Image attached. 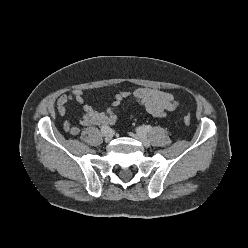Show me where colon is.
<instances>
[{
    "mask_svg": "<svg viewBox=\"0 0 248 248\" xmlns=\"http://www.w3.org/2000/svg\"><path fill=\"white\" fill-rule=\"evenodd\" d=\"M183 120H184V123H185L186 125H190V123H191V118H190V116H189L188 114L184 115Z\"/></svg>",
    "mask_w": 248,
    "mask_h": 248,
    "instance_id": "5ec220e1",
    "label": "colon"
}]
</instances>
